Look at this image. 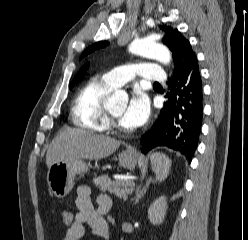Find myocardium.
<instances>
[{
  "label": "myocardium",
  "mask_w": 248,
  "mask_h": 240,
  "mask_svg": "<svg viewBox=\"0 0 248 240\" xmlns=\"http://www.w3.org/2000/svg\"><path fill=\"white\" fill-rule=\"evenodd\" d=\"M106 123L108 127L119 133L128 132V130L118 122V120L110 113V111L107 110H106Z\"/></svg>",
  "instance_id": "1"
}]
</instances>
